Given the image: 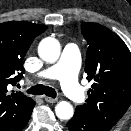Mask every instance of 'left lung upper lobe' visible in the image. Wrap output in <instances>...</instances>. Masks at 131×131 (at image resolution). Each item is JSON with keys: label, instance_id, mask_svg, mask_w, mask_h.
<instances>
[{"label": "left lung upper lobe", "instance_id": "1", "mask_svg": "<svg viewBox=\"0 0 131 131\" xmlns=\"http://www.w3.org/2000/svg\"><path fill=\"white\" fill-rule=\"evenodd\" d=\"M88 43L85 72L92 82L86 103L77 106L109 131L131 104V53L111 30L96 23H82Z\"/></svg>", "mask_w": 131, "mask_h": 131}]
</instances>
